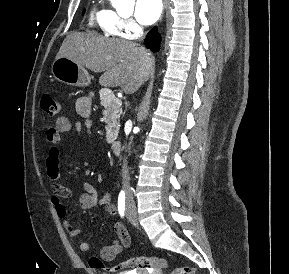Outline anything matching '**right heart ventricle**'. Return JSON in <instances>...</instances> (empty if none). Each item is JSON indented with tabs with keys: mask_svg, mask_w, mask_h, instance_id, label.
Instances as JSON below:
<instances>
[{
	"mask_svg": "<svg viewBox=\"0 0 289 274\" xmlns=\"http://www.w3.org/2000/svg\"><path fill=\"white\" fill-rule=\"evenodd\" d=\"M115 16L116 13L114 11L105 7L101 2H97L90 11L89 24L91 26H97L106 34L117 35L113 29Z\"/></svg>",
	"mask_w": 289,
	"mask_h": 274,
	"instance_id": "right-heart-ventricle-1",
	"label": "right heart ventricle"
}]
</instances>
